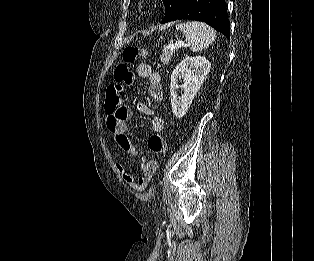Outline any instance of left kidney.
Returning a JSON list of instances; mask_svg holds the SVG:
<instances>
[{
    "instance_id": "obj_1",
    "label": "left kidney",
    "mask_w": 314,
    "mask_h": 261,
    "mask_svg": "<svg viewBox=\"0 0 314 261\" xmlns=\"http://www.w3.org/2000/svg\"><path fill=\"white\" fill-rule=\"evenodd\" d=\"M210 68L211 64L205 57L196 56L186 57L173 70L170 94L172 111L177 118H182L187 113ZM178 80H183L184 83L178 85ZM178 88L183 91L180 97H177Z\"/></svg>"
}]
</instances>
